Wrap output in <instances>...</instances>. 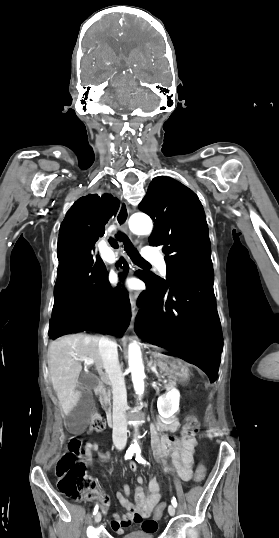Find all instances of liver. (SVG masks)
I'll return each instance as SVG.
<instances>
[{"label": "liver", "instance_id": "6515ba94", "mask_svg": "<svg viewBox=\"0 0 279 538\" xmlns=\"http://www.w3.org/2000/svg\"><path fill=\"white\" fill-rule=\"evenodd\" d=\"M99 340L96 336L72 334L62 336L51 342L48 348V368L52 386L57 392V398L65 416L77 406L81 392L75 390L79 374L82 370L79 358L94 360L96 370H102L103 360L99 350Z\"/></svg>", "mask_w": 279, "mask_h": 538}]
</instances>
